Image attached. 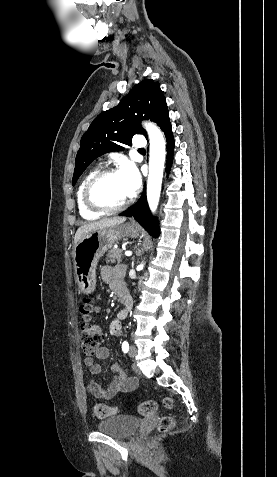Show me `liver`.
<instances>
[{
  "instance_id": "1",
  "label": "liver",
  "mask_w": 277,
  "mask_h": 477,
  "mask_svg": "<svg viewBox=\"0 0 277 477\" xmlns=\"http://www.w3.org/2000/svg\"><path fill=\"white\" fill-rule=\"evenodd\" d=\"M126 221L125 217H113V218H104L99 221L91 222L84 224L78 228L74 237L75 245L79 242L81 237L91 231L97 230L99 228H107L112 226H117Z\"/></svg>"
}]
</instances>
